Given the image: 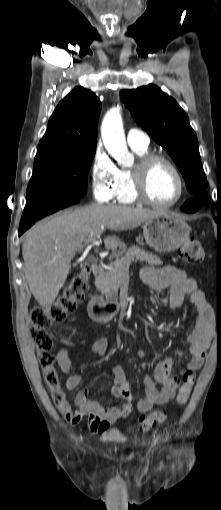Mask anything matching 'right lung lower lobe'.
Returning <instances> with one entry per match:
<instances>
[{
	"instance_id": "right-lung-lower-lobe-1",
	"label": "right lung lower lobe",
	"mask_w": 221,
	"mask_h": 510,
	"mask_svg": "<svg viewBox=\"0 0 221 510\" xmlns=\"http://www.w3.org/2000/svg\"><path fill=\"white\" fill-rule=\"evenodd\" d=\"M60 209H62V208L47 210L46 208L41 207L37 203L31 204V205L26 204L23 215H22V219L20 221V226H19V231H18L19 236L22 235L23 232H25L28 228H30L40 218L47 216V215H49L57 210H60Z\"/></svg>"
}]
</instances>
